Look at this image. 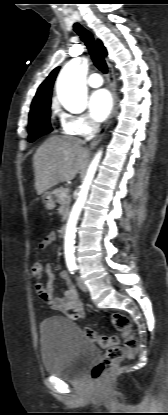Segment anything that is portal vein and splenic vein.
Masks as SVG:
<instances>
[{
	"label": "portal vein and splenic vein",
	"instance_id": "18ae733b",
	"mask_svg": "<svg viewBox=\"0 0 168 415\" xmlns=\"http://www.w3.org/2000/svg\"><path fill=\"white\" fill-rule=\"evenodd\" d=\"M66 196H67V193L66 192L61 193V197L62 198L66 197Z\"/></svg>",
	"mask_w": 168,
	"mask_h": 415
}]
</instances>
